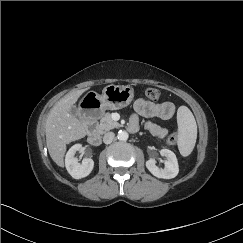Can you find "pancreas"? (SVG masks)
<instances>
[{
	"label": "pancreas",
	"mask_w": 243,
	"mask_h": 243,
	"mask_svg": "<svg viewBox=\"0 0 243 243\" xmlns=\"http://www.w3.org/2000/svg\"><path fill=\"white\" fill-rule=\"evenodd\" d=\"M118 126H120V124L112 119L111 114L106 113L104 117L101 118L98 129L100 133H104Z\"/></svg>",
	"instance_id": "pancreas-1"
}]
</instances>
